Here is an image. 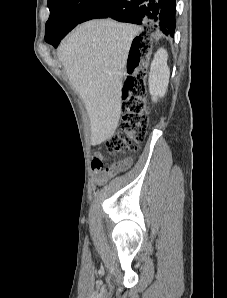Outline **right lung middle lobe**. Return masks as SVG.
<instances>
[{
    "mask_svg": "<svg viewBox=\"0 0 227 298\" xmlns=\"http://www.w3.org/2000/svg\"><path fill=\"white\" fill-rule=\"evenodd\" d=\"M101 0H48L50 17L45 40L54 33L72 30Z\"/></svg>",
    "mask_w": 227,
    "mask_h": 298,
    "instance_id": "right-lung-middle-lobe-1",
    "label": "right lung middle lobe"
}]
</instances>
